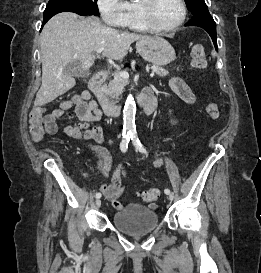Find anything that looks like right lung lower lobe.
Instances as JSON below:
<instances>
[{
    "label": "right lung lower lobe",
    "instance_id": "obj_1",
    "mask_svg": "<svg viewBox=\"0 0 261 273\" xmlns=\"http://www.w3.org/2000/svg\"><path fill=\"white\" fill-rule=\"evenodd\" d=\"M73 7H74L73 9L74 13H77L79 15H89L88 11L86 10L83 4L76 2ZM50 18L51 17H44L42 27Z\"/></svg>",
    "mask_w": 261,
    "mask_h": 273
}]
</instances>
